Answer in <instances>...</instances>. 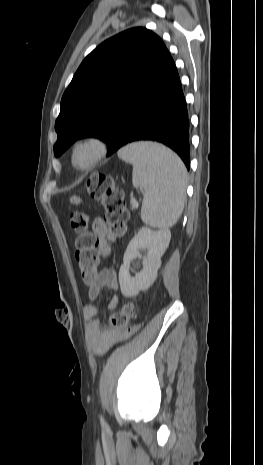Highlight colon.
I'll return each mask as SVG.
<instances>
[{"instance_id": "obj_1", "label": "colon", "mask_w": 263, "mask_h": 465, "mask_svg": "<svg viewBox=\"0 0 263 465\" xmlns=\"http://www.w3.org/2000/svg\"><path fill=\"white\" fill-rule=\"evenodd\" d=\"M89 194L96 200L101 201L105 212L102 218L104 224L112 232L120 237L123 236L128 221V211L126 209L123 192L115 185L111 176L95 174L90 177L87 183ZM78 203L77 198L73 199ZM71 227L76 232L75 257L82 280L91 285L98 276V252L96 249V237L88 229V217L81 212H74L70 216ZM136 307L134 303L128 302L123 307L113 313L108 320V330H124L131 332L134 329L130 325L135 317Z\"/></svg>"}]
</instances>
